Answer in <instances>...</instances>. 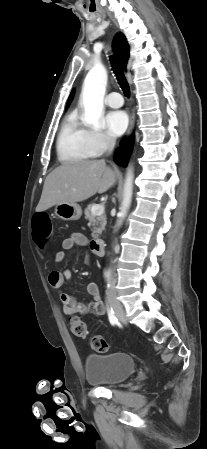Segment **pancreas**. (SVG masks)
<instances>
[{"mask_svg":"<svg viewBox=\"0 0 207 449\" xmlns=\"http://www.w3.org/2000/svg\"><path fill=\"white\" fill-rule=\"evenodd\" d=\"M94 204H89L85 209V218L92 223L93 232L92 237L97 238L102 231L105 229L106 225V215H95L92 213V207Z\"/></svg>","mask_w":207,"mask_h":449,"instance_id":"pancreas-1","label":"pancreas"}]
</instances>
